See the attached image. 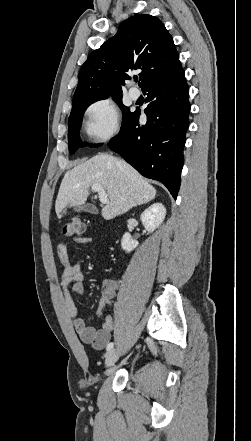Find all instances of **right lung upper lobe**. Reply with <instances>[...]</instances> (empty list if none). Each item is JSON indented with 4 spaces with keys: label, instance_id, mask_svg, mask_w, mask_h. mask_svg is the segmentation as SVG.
<instances>
[{
    "label": "right lung upper lobe",
    "instance_id": "right-lung-upper-lobe-1",
    "mask_svg": "<svg viewBox=\"0 0 251 441\" xmlns=\"http://www.w3.org/2000/svg\"><path fill=\"white\" fill-rule=\"evenodd\" d=\"M179 55L163 23L151 15H135L121 23L115 36L94 50L82 65L73 101L122 96L128 73L141 69L143 88L179 67Z\"/></svg>",
    "mask_w": 251,
    "mask_h": 441
}]
</instances>
